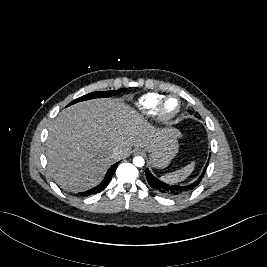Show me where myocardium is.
I'll return each mask as SVG.
<instances>
[{"instance_id":"1","label":"myocardium","mask_w":267,"mask_h":267,"mask_svg":"<svg viewBox=\"0 0 267 267\" xmlns=\"http://www.w3.org/2000/svg\"><path fill=\"white\" fill-rule=\"evenodd\" d=\"M170 99H175L178 103V106H177V109L173 113L166 114L164 112V106H165V103ZM180 110H181V101L179 97L176 95H167V96H163L162 99L158 102L154 114L159 122L168 124L172 122L179 115Z\"/></svg>"}]
</instances>
